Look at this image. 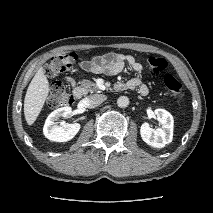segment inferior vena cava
<instances>
[{
  "instance_id": "obj_1",
  "label": "inferior vena cava",
  "mask_w": 213,
  "mask_h": 213,
  "mask_svg": "<svg viewBox=\"0 0 213 213\" xmlns=\"http://www.w3.org/2000/svg\"><path fill=\"white\" fill-rule=\"evenodd\" d=\"M107 97L103 94H94L86 98L87 106L89 108H95L101 103H103Z\"/></svg>"
}]
</instances>
